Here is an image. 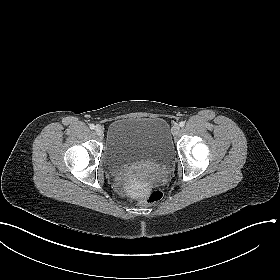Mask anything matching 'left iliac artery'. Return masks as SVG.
Here are the masks:
<instances>
[{
  "mask_svg": "<svg viewBox=\"0 0 280 280\" xmlns=\"http://www.w3.org/2000/svg\"><path fill=\"white\" fill-rule=\"evenodd\" d=\"M179 125H180V127H184L185 126V122L181 121Z\"/></svg>",
  "mask_w": 280,
  "mask_h": 280,
  "instance_id": "1",
  "label": "left iliac artery"
}]
</instances>
